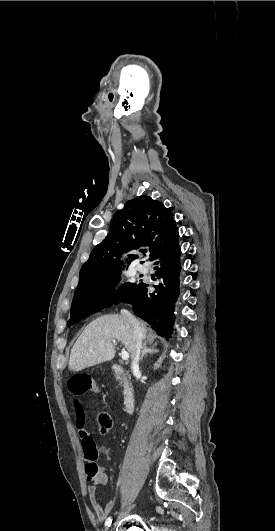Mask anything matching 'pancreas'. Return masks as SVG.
Here are the masks:
<instances>
[{"label": "pancreas", "instance_id": "1", "mask_svg": "<svg viewBox=\"0 0 275 531\" xmlns=\"http://www.w3.org/2000/svg\"><path fill=\"white\" fill-rule=\"evenodd\" d=\"M115 379H117V381H119L120 385H122V383H127V379H122V377H119V375H114Z\"/></svg>", "mask_w": 275, "mask_h": 531}]
</instances>
